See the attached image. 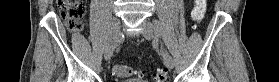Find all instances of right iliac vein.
I'll return each instance as SVG.
<instances>
[{
	"label": "right iliac vein",
	"instance_id": "obj_1",
	"mask_svg": "<svg viewBox=\"0 0 279 82\" xmlns=\"http://www.w3.org/2000/svg\"><path fill=\"white\" fill-rule=\"evenodd\" d=\"M121 22L118 18H114L111 25L108 41L105 46L104 57L109 60L113 54L114 48L119 37Z\"/></svg>",
	"mask_w": 279,
	"mask_h": 82
}]
</instances>
